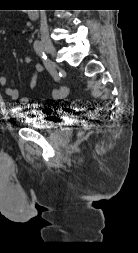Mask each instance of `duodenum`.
<instances>
[{"label":"duodenum","mask_w":138,"mask_h":253,"mask_svg":"<svg viewBox=\"0 0 138 253\" xmlns=\"http://www.w3.org/2000/svg\"><path fill=\"white\" fill-rule=\"evenodd\" d=\"M37 13H38L37 9H30L28 11V16L30 19H35L37 17Z\"/></svg>","instance_id":"1"}]
</instances>
